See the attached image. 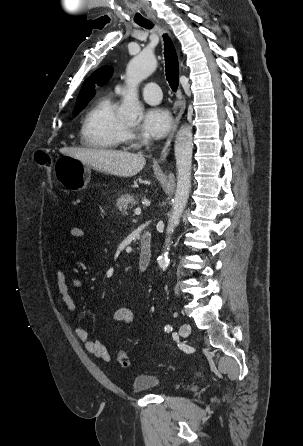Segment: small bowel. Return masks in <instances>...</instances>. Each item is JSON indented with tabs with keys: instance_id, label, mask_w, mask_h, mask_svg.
I'll return each instance as SVG.
<instances>
[{
	"instance_id": "obj_1",
	"label": "small bowel",
	"mask_w": 303,
	"mask_h": 446,
	"mask_svg": "<svg viewBox=\"0 0 303 446\" xmlns=\"http://www.w3.org/2000/svg\"><path fill=\"white\" fill-rule=\"evenodd\" d=\"M69 235L73 239L79 240L85 236V232L81 227L74 226L70 228ZM55 277L57 289L62 297V301L69 311L74 312L76 310V304L70 294V289H82L84 287L83 281L78 278L68 280L65 270L59 262H57L55 266ZM132 317L133 312L129 308H120L114 314L115 320L120 322H130ZM75 334L78 339L84 343L85 349L90 354H93L104 361L110 360V354L107 347L99 341L92 340L84 328L77 327L75 329Z\"/></svg>"
}]
</instances>
